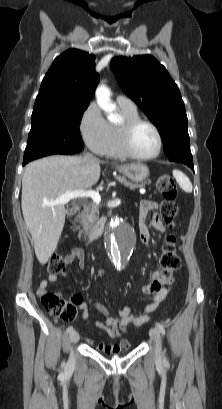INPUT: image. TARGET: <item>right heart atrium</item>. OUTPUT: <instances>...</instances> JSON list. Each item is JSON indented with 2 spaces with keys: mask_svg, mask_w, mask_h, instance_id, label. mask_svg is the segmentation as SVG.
I'll use <instances>...</instances> for the list:
<instances>
[{
  "mask_svg": "<svg viewBox=\"0 0 222 409\" xmlns=\"http://www.w3.org/2000/svg\"><path fill=\"white\" fill-rule=\"evenodd\" d=\"M79 130L85 144L94 152L102 154L109 143L110 130L96 103H90L83 111Z\"/></svg>",
  "mask_w": 222,
  "mask_h": 409,
  "instance_id": "d8ad5b80",
  "label": "right heart atrium"
}]
</instances>
